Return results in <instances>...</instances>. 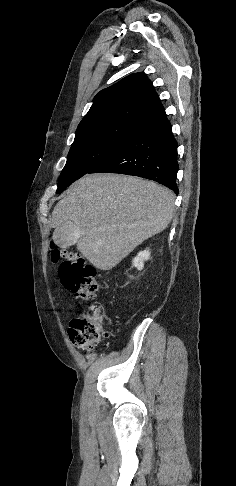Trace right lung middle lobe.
<instances>
[{"label":"right lung middle lobe","instance_id":"right-lung-middle-lobe-1","mask_svg":"<svg viewBox=\"0 0 236 486\" xmlns=\"http://www.w3.org/2000/svg\"><path fill=\"white\" fill-rule=\"evenodd\" d=\"M139 124H115L77 134L67 156L56 193H61L74 181L128 142Z\"/></svg>","mask_w":236,"mask_h":486}]
</instances>
